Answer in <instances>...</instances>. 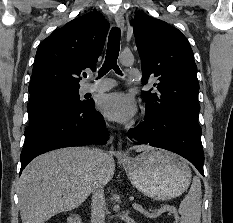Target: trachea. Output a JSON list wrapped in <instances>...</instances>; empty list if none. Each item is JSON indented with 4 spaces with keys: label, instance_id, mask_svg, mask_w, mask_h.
I'll return each instance as SVG.
<instances>
[{
    "label": "trachea",
    "instance_id": "1",
    "mask_svg": "<svg viewBox=\"0 0 233 223\" xmlns=\"http://www.w3.org/2000/svg\"><path fill=\"white\" fill-rule=\"evenodd\" d=\"M119 50H120V29L114 27L112 28L109 34L105 61L102 68L98 72V78H101L111 69L115 70V72L118 73L119 75L122 74V72L120 71L117 65Z\"/></svg>",
    "mask_w": 233,
    "mask_h": 223
}]
</instances>
